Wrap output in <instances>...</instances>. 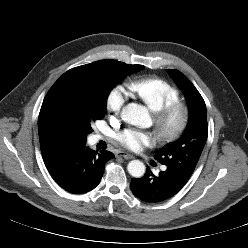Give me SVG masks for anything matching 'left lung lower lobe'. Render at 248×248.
Returning <instances> with one entry per match:
<instances>
[{"instance_id": "1", "label": "left lung lower lobe", "mask_w": 248, "mask_h": 248, "mask_svg": "<svg viewBox=\"0 0 248 248\" xmlns=\"http://www.w3.org/2000/svg\"><path fill=\"white\" fill-rule=\"evenodd\" d=\"M185 184L172 169L167 168L154 176L148 167L142 178H132L131 189L141 201L158 203L176 195Z\"/></svg>"}]
</instances>
